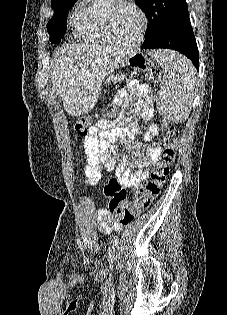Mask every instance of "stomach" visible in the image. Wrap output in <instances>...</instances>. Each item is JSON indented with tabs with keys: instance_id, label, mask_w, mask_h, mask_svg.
I'll return each instance as SVG.
<instances>
[{
	"instance_id": "1",
	"label": "stomach",
	"mask_w": 227,
	"mask_h": 315,
	"mask_svg": "<svg viewBox=\"0 0 227 315\" xmlns=\"http://www.w3.org/2000/svg\"><path fill=\"white\" fill-rule=\"evenodd\" d=\"M96 85L98 86V89H103L105 91H108L110 89V87L112 86V81L111 80H100L99 82H96Z\"/></svg>"
}]
</instances>
